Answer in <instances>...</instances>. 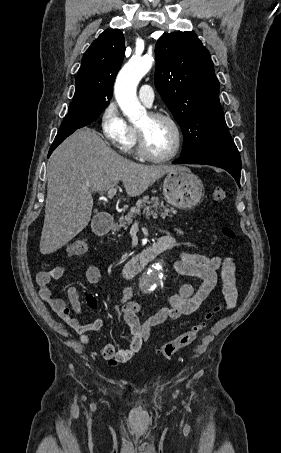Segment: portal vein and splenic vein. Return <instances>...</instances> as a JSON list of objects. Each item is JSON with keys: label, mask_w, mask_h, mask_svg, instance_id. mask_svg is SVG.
<instances>
[{"label": "portal vein and splenic vein", "mask_w": 281, "mask_h": 453, "mask_svg": "<svg viewBox=\"0 0 281 453\" xmlns=\"http://www.w3.org/2000/svg\"><path fill=\"white\" fill-rule=\"evenodd\" d=\"M117 188H109L108 190V198H113L114 194H116Z\"/></svg>", "instance_id": "1"}]
</instances>
